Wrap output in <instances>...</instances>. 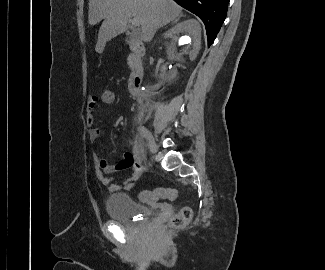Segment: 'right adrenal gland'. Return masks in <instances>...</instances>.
Returning a JSON list of instances; mask_svg holds the SVG:
<instances>
[{
  "mask_svg": "<svg viewBox=\"0 0 325 270\" xmlns=\"http://www.w3.org/2000/svg\"><path fill=\"white\" fill-rule=\"evenodd\" d=\"M178 20V18L177 19H175L173 22H176Z\"/></svg>",
  "mask_w": 325,
  "mask_h": 270,
  "instance_id": "2a0ac1e0",
  "label": "right adrenal gland"
}]
</instances>
